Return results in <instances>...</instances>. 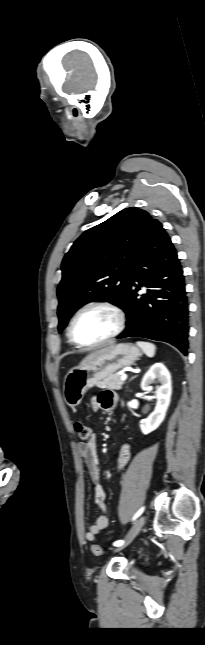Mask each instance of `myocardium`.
Returning <instances> with one entry per match:
<instances>
[{"mask_svg": "<svg viewBox=\"0 0 205 645\" xmlns=\"http://www.w3.org/2000/svg\"><path fill=\"white\" fill-rule=\"evenodd\" d=\"M91 308H101L105 309L109 312H111L115 318V326L113 330L108 334L106 337L103 339L92 342V343H83L80 342L76 339L75 334H74V325L81 313L84 311L91 309ZM125 314L123 310L117 306L116 304L109 302V301H103V300H96V301H90L83 306H81L73 315L71 318V321L69 323V328H68V335L70 340L77 346L82 347V348H95L101 345H104L108 343L109 341L113 340L115 337H117L124 329L125 327Z\"/></svg>", "mask_w": 205, "mask_h": 645, "instance_id": "1", "label": "myocardium"}]
</instances>
